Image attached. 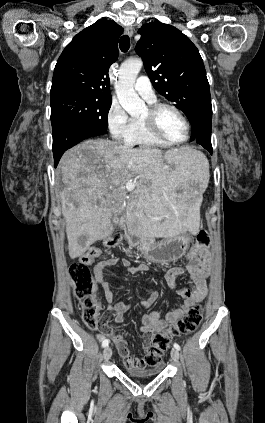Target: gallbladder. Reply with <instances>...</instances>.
<instances>
[{"mask_svg":"<svg viewBox=\"0 0 265 423\" xmlns=\"http://www.w3.org/2000/svg\"><path fill=\"white\" fill-rule=\"evenodd\" d=\"M113 223H114L115 225H117V224H118V221H117V218H116V217H114V218H113ZM79 241L81 242V241H82V238H79Z\"/></svg>","mask_w":265,"mask_h":423,"instance_id":"gallbladder-1","label":"gallbladder"}]
</instances>
